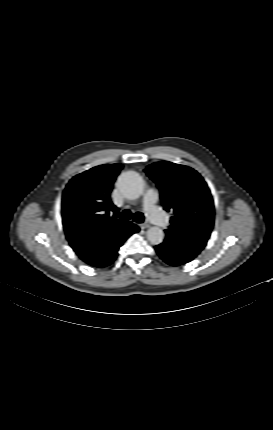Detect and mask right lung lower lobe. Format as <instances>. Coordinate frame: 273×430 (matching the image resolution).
Instances as JSON below:
<instances>
[{
	"instance_id": "1",
	"label": "right lung lower lobe",
	"mask_w": 273,
	"mask_h": 430,
	"mask_svg": "<svg viewBox=\"0 0 273 430\" xmlns=\"http://www.w3.org/2000/svg\"><path fill=\"white\" fill-rule=\"evenodd\" d=\"M139 228L135 225L126 234L119 236L108 235L103 238L97 249L92 253V256L88 258L86 263L95 267H105L113 263L117 257L119 247L124 243V241L133 233L138 232ZM74 249V248H73ZM81 258V257H80ZM82 259V258H81ZM84 261V260H83Z\"/></svg>"
}]
</instances>
